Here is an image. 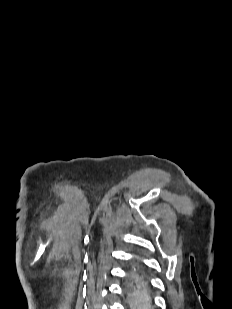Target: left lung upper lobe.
Here are the masks:
<instances>
[{
	"label": "left lung upper lobe",
	"mask_w": 232,
	"mask_h": 309,
	"mask_svg": "<svg viewBox=\"0 0 232 309\" xmlns=\"http://www.w3.org/2000/svg\"><path fill=\"white\" fill-rule=\"evenodd\" d=\"M134 292H130V294L127 293V297H128V301L131 305V302H132V296H133Z\"/></svg>",
	"instance_id": "5c2ea615"
}]
</instances>
